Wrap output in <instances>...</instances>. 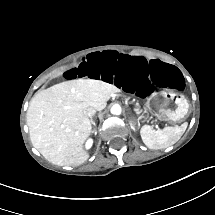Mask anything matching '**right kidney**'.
<instances>
[{"label": "right kidney", "instance_id": "ca27d5eb", "mask_svg": "<svg viewBox=\"0 0 215 215\" xmlns=\"http://www.w3.org/2000/svg\"><path fill=\"white\" fill-rule=\"evenodd\" d=\"M94 139L92 137H88L84 142V149L86 151L90 150L93 147Z\"/></svg>", "mask_w": 215, "mask_h": 215}]
</instances>
